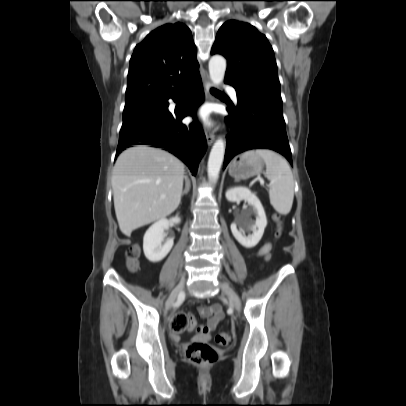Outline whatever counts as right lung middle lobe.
<instances>
[{"instance_id": "obj_1", "label": "right lung middle lobe", "mask_w": 406, "mask_h": 406, "mask_svg": "<svg viewBox=\"0 0 406 406\" xmlns=\"http://www.w3.org/2000/svg\"><path fill=\"white\" fill-rule=\"evenodd\" d=\"M166 111L167 102L165 99L144 100L125 106L120 133L155 123L161 119Z\"/></svg>"}]
</instances>
